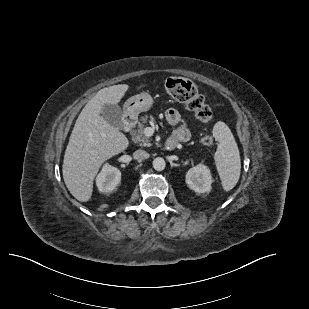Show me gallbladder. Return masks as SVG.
<instances>
[{
    "label": "gallbladder",
    "mask_w": 309,
    "mask_h": 309,
    "mask_svg": "<svg viewBox=\"0 0 309 309\" xmlns=\"http://www.w3.org/2000/svg\"><path fill=\"white\" fill-rule=\"evenodd\" d=\"M102 117L113 127L122 129V110L117 104H105L101 112Z\"/></svg>",
    "instance_id": "obj_1"
}]
</instances>
